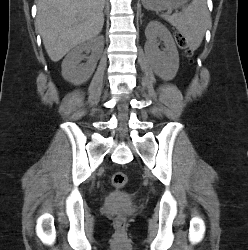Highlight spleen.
Here are the masks:
<instances>
[{
    "label": "spleen",
    "instance_id": "3e777b00",
    "mask_svg": "<svg viewBox=\"0 0 248 250\" xmlns=\"http://www.w3.org/2000/svg\"><path fill=\"white\" fill-rule=\"evenodd\" d=\"M165 19L185 38L191 50L202 43L206 29L211 23L206 0H192L180 13L165 16Z\"/></svg>",
    "mask_w": 248,
    "mask_h": 250
}]
</instances>
